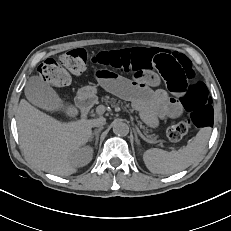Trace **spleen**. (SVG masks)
<instances>
[{"instance_id":"1","label":"spleen","mask_w":231,"mask_h":231,"mask_svg":"<svg viewBox=\"0 0 231 231\" xmlns=\"http://www.w3.org/2000/svg\"><path fill=\"white\" fill-rule=\"evenodd\" d=\"M211 128H202L183 149L164 151L151 148L144 152L143 161L152 173L169 175L180 172L193 164L204 152L210 138Z\"/></svg>"}]
</instances>
